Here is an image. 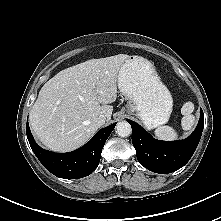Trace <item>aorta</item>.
<instances>
[{"label": "aorta", "mask_w": 221, "mask_h": 221, "mask_svg": "<svg viewBox=\"0 0 221 221\" xmlns=\"http://www.w3.org/2000/svg\"><path fill=\"white\" fill-rule=\"evenodd\" d=\"M131 126L127 121H120L116 125V133L120 137H127L131 134Z\"/></svg>", "instance_id": "obj_1"}]
</instances>
